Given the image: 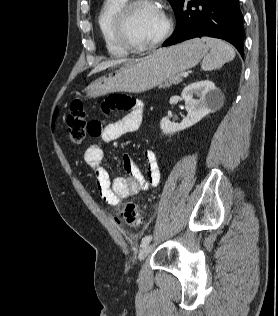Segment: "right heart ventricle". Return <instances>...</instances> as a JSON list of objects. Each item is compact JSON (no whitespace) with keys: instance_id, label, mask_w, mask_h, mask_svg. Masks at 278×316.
Instances as JSON below:
<instances>
[{"instance_id":"e07e8e85","label":"right heart ventricle","mask_w":278,"mask_h":316,"mask_svg":"<svg viewBox=\"0 0 278 316\" xmlns=\"http://www.w3.org/2000/svg\"><path fill=\"white\" fill-rule=\"evenodd\" d=\"M128 0H104L100 8L97 23L108 53L114 57L127 54L128 50L121 45L115 33V17Z\"/></svg>"}]
</instances>
